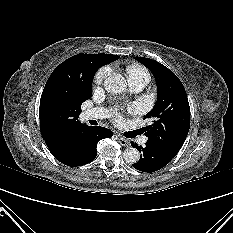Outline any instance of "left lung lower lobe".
I'll use <instances>...</instances> for the list:
<instances>
[{
  "instance_id": "1",
  "label": "left lung lower lobe",
  "mask_w": 233,
  "mask_h": 233,
  "mask_svg": "<svg viewBox=\"0 0 233 233\" xmlns=\"http://www.w3.org/2000/svg\"><path fill=\"white\" fill-rule=\"evenodd\" d=\"M132 147L142 152L140 159L132 166L143 172H154L167 165L174 157L162 151L152 143L146 142V146H138L131 142Z\"/></svg>"
}]
</instances>
